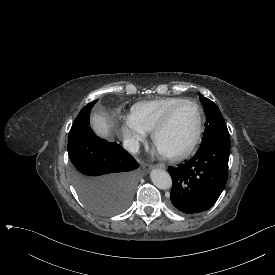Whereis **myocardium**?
Here are the masks:
<instances>
[{
  "label": "myocardium",
  "instance_id": "obj_1",
  "mask_svg": "<svg viewBox=\"0 0 275 275\" xmlns=\"http://www.w3.org/2000/svg\"><path fill=\"white\" fill-rule=\"evenodd\" d=\"M183 105H191L195 109L196 112V125L195 129L193 131V134L191 137L187 140V142L182 145L181 147L172 150V151H165L157 149L155 146V141L157 137L168 128V126L171 123L172 117L175 114V112ZM202 113L199 105L192 101V100H185L182 101L176 105H174L164 116V118L154 126V128L151 131V142L153 148L159 153L161 156L168 158V159H179L185 155H187L196 145L197 141L200 138L201 132H202Z\"/></svg>",
  "mask_w": 275,
  "mask_h": 275
}]
</instances>
